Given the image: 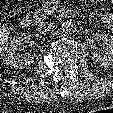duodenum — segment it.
<instances>
[{
	"label": "duodenum",
	"instance_id": "duodenum-1",
	"mask_svg": "<svg viewBox=\"0 0 113 113\" xmlns=\"http://www.w3.org/2000/svg\"><path fill=\"white\" fill-rule=\"evenodd\" d=\"M74 13L72 10L67 9V8H62L60 9L57 14H56V18L60 19V20H67V19H71L73 18ZM34 18L31 15H25L21 21H20V25L22 28L27 29L30 28L33 24Z\"/></svg>",
	"mask_w": 113,
	"mask_h": 113
}]
</instances>
